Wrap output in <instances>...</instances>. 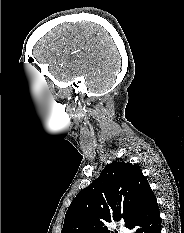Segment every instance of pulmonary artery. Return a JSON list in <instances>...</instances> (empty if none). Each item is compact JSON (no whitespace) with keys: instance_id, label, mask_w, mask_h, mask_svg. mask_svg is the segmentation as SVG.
<instances>
[{"instance_id":"obj_1","label":"pulmonary artery","mask_w":184,"mask_h":233,"mask_svg":"<svg viewBox=\"0 0 184 233\" xmlns=\"http://www.w3.org/2000/svg\"><path fill=\"white\" fill-rule=\"evenodd\" d=\"M119 233H129V230L127 228H125L124 226H121L119 228Z\"/></svg>"}]
</instances>
